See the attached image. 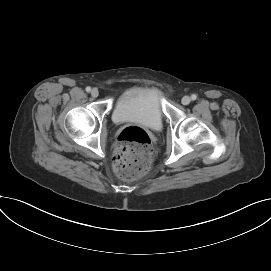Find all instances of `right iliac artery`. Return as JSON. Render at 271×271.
Here are the masks:
<instances>
[{"label":"right iliac artery","mask_w":271,"mask_h":271,"mask_svg":"<svg viewBox=\"0 0 271 271\" xmlns=\"http://www.w3.org/2000/svg\"><path fill=\"white\" fill-rule=\"evenodd\" d=\"M86 91L90 92L91 91V87H86Z\"/></svg>","instance_id":"82829eb1"}]
</instances>
